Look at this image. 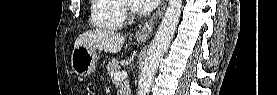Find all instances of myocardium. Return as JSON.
<instances>
[{
	"instance_id": "f54148a6",
	"label": "myocardium",
	"mask_w": 277,
	"mask_h": 95,
	"mask_svg": "<svg viewBox=\"0 0 277 95\" xmlns=\"http://www.w3.org/2000/svg\"><path fill=\"white\" fill-rule=\"evenodd\" d=\"M122 8L125 14L131 16L132 18L142 13V11L137 8L133 0H123Z\"/></svg>"
}]
</instances>
